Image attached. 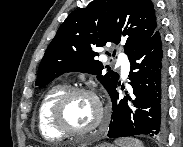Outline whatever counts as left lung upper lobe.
Masks as SVG:
<instances>
[{
    "label": "left lung upper lobe",
    "instance_id": "obj_1",
    "mask_svg": "<svg viewBox=\"0 0 183 147\" xmlns=\"http://www.w3.org/2000/svg\"><path fill=\"white\" fill-rule=\"evenodd\" d=\"M158 28L151 0H94L86 8L73 11L59 27L41 61L35 84L44 87L65 72L79 71L96 75L110 94L119 75L109 68L102 74L105 67L96 60L99 54L93 49L123 41L129 56Z\"/></svg>",
    "mask_w": 183,
    "mask_h": 147
}]
</instances>
